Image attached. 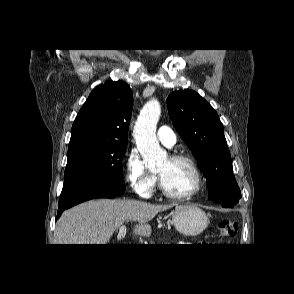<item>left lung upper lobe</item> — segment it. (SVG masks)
Returning a JSON list of instances; mask_svg holds the SVG:
<instances>
[{"label": "left lung upper lobe", "mask_w": 294, "mask_h": 294, "mask_svg": "<svg viewBox=\"0 0 294 294\" xmlns=\"http://www.w3.org/2000/svg\"><path fill=\"white\" fill-rule=\"evenodd\" d=\"M169 116L192 150L206 178L210 198L240 199L231 155L217 112L193 90H179L167 98Z\"/></svg>", "instance_id": "1"}]
</instances>
